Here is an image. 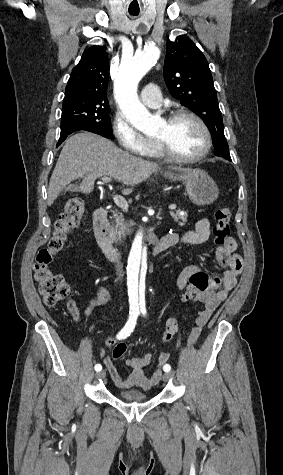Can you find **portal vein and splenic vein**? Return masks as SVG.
Segmentation results:
<instances>
[{
  "instance_id": "18ae733b",
  "label": "portal vein and splenic vein",
  "mask_w": 283,
  "mask_h": 475,
  "mask_svg": "<svg viewBox=\"0 0 283 475\" xmlns=\"http://www.w3.org/2000/svg\"><path fill=\"white\" fill-rule=\"evenodd\" d=\"M102 182L101 184H109L111 182V178H107V176H104V178H101ZM120 198L121 196H114L113 200L117 206H120ZM128 206H125V210H127ZM169 210H176V204H171L169 206Z\"/></svg>"
}]
</instances>
